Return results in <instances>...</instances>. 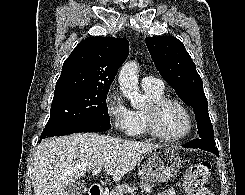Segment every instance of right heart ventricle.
<instances>
[{
	"instance_id": "obj_1",
	"label": "right heart ventricle",
	"mask_w": 245,
	"mask_h": 195,
	"mask_svg": "<svg viewBox=\"0 0 245 195\" xmlns=\"http://www.w3.org/2000/svg\"><path fill=\"white\" fill-rule=\"evenodd\" d=\"M144 91L150 103L164 97V89L163 90H144ZM132 116H133V130L130 135L133 137H139L146 132L145 131L144 110L132 111Z\"/></svg>"
}]
</instances>
